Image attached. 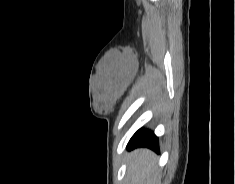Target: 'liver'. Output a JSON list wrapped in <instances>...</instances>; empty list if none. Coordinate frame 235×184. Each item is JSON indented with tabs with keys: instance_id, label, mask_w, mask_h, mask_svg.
I'll return each mask as SVG.
<instances>
[{
	"instance_id": "obj_1",
	"label": "liver",
	"mask_w": 235,
	"mask_h": 184,
	"mask_svg": "<svg viewBox=\"0 0 235 184\" xmlns=\"http://www.w3.org/2000/svg\"><path fill=\"white\" fill-rule=\"evenodd\" d=\"M157 158L150 150H135L128 158V178L131 184H155Z\"/></svg>"
}]
</instances>
